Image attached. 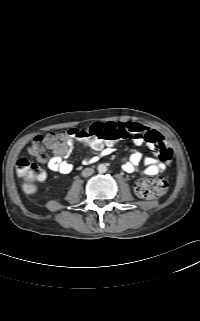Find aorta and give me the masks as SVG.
<instances>
[{"label":"aorta","mask_w":200,"mask_h":321,"mask_svg":"<svg viewBox=\"0 0 200 321\" xmlns=\"http://www.w3.org/2000/svg\"><path fill=\"white\" fill-rule=\"evenodd\" d=\"M97 169L99 173H105L107 171V167L105 164H99Z\"/></svg>","instance_id":"762f6f07"}]
</instances>
